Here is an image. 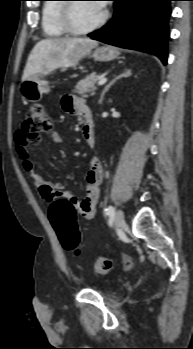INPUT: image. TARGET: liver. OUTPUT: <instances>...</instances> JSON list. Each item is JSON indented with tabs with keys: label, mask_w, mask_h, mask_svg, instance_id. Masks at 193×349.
<instances>
[{
	"label": "liver",
	"mask_w": 193,
	"mask_h": 349,
	"mask_svg": "<svg viewBox=\"0 0 193 349\" xmlns=\"http://www.w3.org/2000/svg\"><path fill=\"white\" fill-rule=\"evenodd\" d=\"M88 38H48L32 49L22 75V81L37 74H48L57 68L76 66L79 60L97 47Z\"/></svg>",
	"instance_id": "1"
}]
</instances>
